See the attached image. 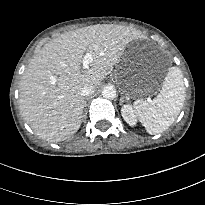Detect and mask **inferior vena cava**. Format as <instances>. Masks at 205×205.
<instances>
[{
	"label": "inferior vena cava",
	"mask_w": 205,
	"mask_h": 205,
	"mask_svg": "<svg viewBox=\"0 0 205 205\" xmlns=\"http://www.w3.org/2000/svg\"><path fill=\"white\" fill-rule=\"evenodd\" d=\"M96 90V87L95 85L93 84H88V85H85L82 90H81V94L82 96H88V95H91L95 92Z\"/></svg>",
	"instance_id": "inferior-vena-cava-1"
}]
</instances>
